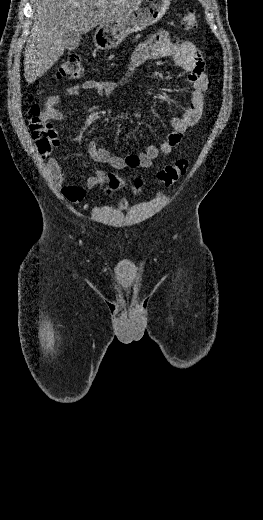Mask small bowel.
<instances>
[{
  "label": "small bowel",
  "instance_id": "obj_1",
  "mask_svg": "<svg viewBox=\"0 0 263 520\" xmlns=\"http://www.w3.org/2000/svg\"><path fill=\"white\" fill-rule=\"evenodd\" d=\"M159 58L171 59L176 66L188 73V82L192 86V92L185 112L172 119V130L163 143L158 146L149 145L145 151L138 154L112 156L108 150L99 147L96 141H88L87 151L95 161L108 164L114 169L149 168L156 158L170 154L173 148L181 142L183 134L200 120L209 81L204 71V60L192 42L173 39L166 31H158L150 35L133 50L123 80L129 77L138 66ZM116 88L115 82L86 80L80 85L67 87L63 94L79 96L82 91H94L97 95H103L114 92ZM60 98V95L47 97L45 101L47 120L61 121L65 118L64 113L58 108ZM47 168L62 195L73 203L81 202L86 196L87 189L94 188L105 179V173L97 170L85 179L83 186H79L68 181L56 158H50L47 161Z\"/></svg>",
  "mask_w": 263,
  "mask_h": 520
}]
</instances>
